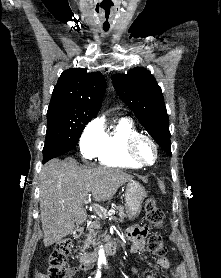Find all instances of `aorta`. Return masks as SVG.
<instances>
[{"label":"aorta","instance_id":"obj_1","mask_svg":"<svg viewBox=\"0 0 221 278\" xmlns=\"http://www.w3.org/2000/svg\"><path fill=\"white\" fill-rule=\"evenodd\" d=\"M98 254H99L98 261L99 262H105L106 257H105V252H104V249L102 248V246L100 247Z\"/></svg>","mask_w":221,"mask_h":278}]
</instances>
